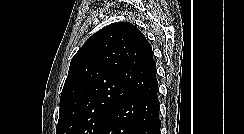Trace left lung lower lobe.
I'll return each mask as SVG.
<instances>
[{
  "instance_id": "1",
  "label": "left lung lower lobe",
  "mask_w": 244,
  "mask_h": 134,
  "mask_svg": "<svg viewBox=\"0 0 244 134\" xmlns=\"http://www.w3.org/2000/svg\"><path fill=\"white\" fill-rule=\"evenodd\" d=\"M157 88L133 96L110 115L99 134H160Z\"/></svg>"
}]
</instances>
